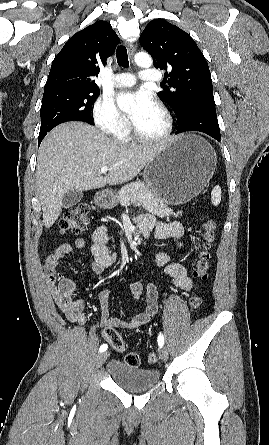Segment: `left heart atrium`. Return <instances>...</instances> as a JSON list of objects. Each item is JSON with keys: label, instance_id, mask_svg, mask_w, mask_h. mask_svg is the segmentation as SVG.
I'll use <instances>...</instances> for the list:
<instances>
[{"label": "left heart atrium", "instance_id": "39dd6f15", "mask_svg": "<svg viewBox=\"0 0 269 445\" xmlns=\"http://www.w3.org/2000/svg\"><path fill=\"white\" fill-rule=\"evenodd\" d=\"M133 105L130 118L133 122L138 121L146 113L155 107V102L150 94L145 91H138L132 95Z\"/></svg>", "mask_w": 269, "mask_h": 445}]
</instances>
